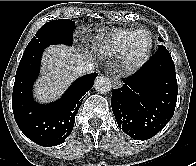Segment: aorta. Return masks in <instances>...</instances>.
Masks as SVG:
<instances>
[{
  "label": "aorta",
  "instance_id": "obj_1",
  "mask_svg": "<svg viewBox=\"0 0 196 166\" xmlns=\"http://www.w3.org/2000/svg\"><path fill=\"white\" fill-rule=\"evenodd\" d=\"M94 88L101 94H106L111 91L112 84L109 78L105 76H99L94 81Z\"/></svg>",
  "mask_w": 196,
  "mask_h": 166
}]
</instances>
